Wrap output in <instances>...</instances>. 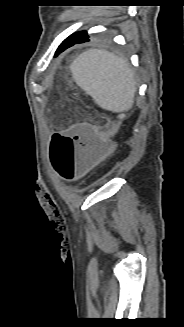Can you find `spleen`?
Wrapping results in <instances>:
<instances>
[{
    "label": "spleen",
    "mask_w": 184,
    "mask_h": 327,
    "mask_svg": "<svg viewBox=\"0 0 184 327\" xmlns=\"http://www.w3.org/2000/svg\"><path fill=\"white\" fill-rule=\"evenodd\" d=\"M77 85L103 109L129 110L134 102L136 84L129 63L105 50L89 49L70 65Z\"/></svg>",
    "instance_id": "1"
}]
</instances>
